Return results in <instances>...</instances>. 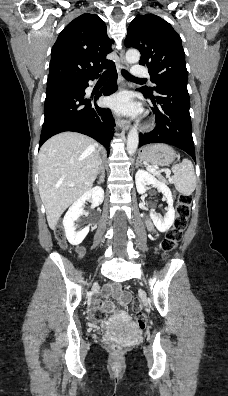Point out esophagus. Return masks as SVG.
Wrapping results in <instances>:
<instances>
[{"label":"esophagus","instance_id":"34e87169","mask_svg":"<svg viewBox=\"0 0 228 396\" xmlns=\"http://www.w3.org/2000/svg\"><path fill=\"white\" fill-rule=\"evenodd\" d=\"M120 64L122 68H128L129 66L124 57V50L120 51ZM116 123L120 128L124 129L125 131L129 129L130 122L124 118H118Z\"/></svg>","mask_w":228,"mask_h":396}]
</instances>
